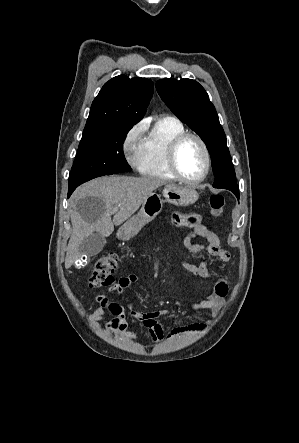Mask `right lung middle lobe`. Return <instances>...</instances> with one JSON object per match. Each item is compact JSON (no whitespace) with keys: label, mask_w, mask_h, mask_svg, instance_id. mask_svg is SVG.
<instances>
[{"label":"right lung middle lobe","mask_w":299,"mask_h":443,"mask_svg":"<svg viewBox=\"0 0 299 443\" xmlns=\"http://www.w3.org/2000/svg\"><path fill=\"white\" fill-rule=\"evenodd\" d=\"M132 126L116 125L83 133L68 187L99 176L131 171L124 157L123 142Z\"/></svg>","instance_id":"dd1d6c3e"}]
</instances>
